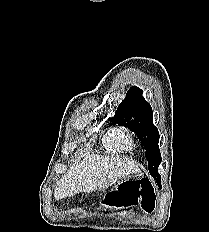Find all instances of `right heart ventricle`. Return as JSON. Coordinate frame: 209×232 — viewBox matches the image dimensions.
Listing matches in <instances>:
<instances>
[{
	"label": "right heart ventricle",
	"mask_w": 209,
	"mask_h": 232,
	"mask_svg": "<svg viewBox=\"0 0 209 232\" xmlns=\"http://www.w3.org/2000/svg\"><path fill=\"white\" fill-rule=\"evenodd\" d=\"M103 144L112 152H120L123 150L122 146L117 140L116 128L110 129L103 137Z\"/></svg>",
	"instance_id": "right-heart-ventricle-1"
}]
</instances>
